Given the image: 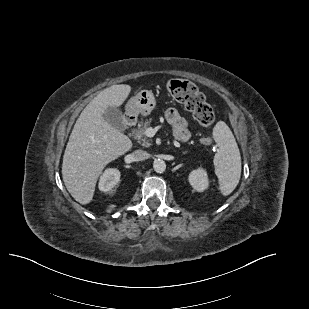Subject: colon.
I'll return each mask as SVG.
<instances>
[{
  "label": "colon",
  "mask_w": 309,
  "mask_h": 309,
  "mask_svg": "<svg viewBox=\"0 0 309 309\" xmlns=\"http://www.w3.org/2000/svg\"><path fill=\"white\" fill-rule=\"evenodd\" d=\"M170 95L190 111L196 121L204 126H210L215 119L214 111L206 102L203 94L189 81L175 79L170 80L167 84ZM201 144L207 146L212 143L210 137H203Z\"/></svg>",
  "instance_id": "obj_1"
}]
</instances>
